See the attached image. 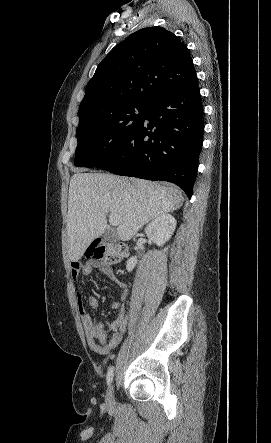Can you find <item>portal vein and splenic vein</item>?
Masks as SVG:
<instances>
[{
  "label": "portal vein and splenic vein",
  "mask_w": 271,
  "mask_h": 443,
  "mask_svg": "<svg viewBox=\"0 0 271 443\" xmlns=\"http://www.w3.org/2000/svg\"><path fill=\"white\" fill-rule=\"evenodd\" d=\"M109 222H110V225H119L116 214H110Z\"/></svg>",
  "instance_id": "obj_1"
}]
</instances>
